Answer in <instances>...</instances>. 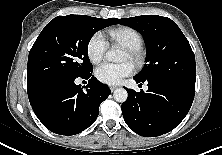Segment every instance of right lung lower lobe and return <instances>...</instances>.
Here are the masks:
<instances>
[{
	"label": "right lung lower lobe",
	"mask_w": 222,
	"mask_h": 155,
	"mask_svg": "<svg viewBox=\"0 0 222 155\" xmlns=\"http://www.w3.org/2000/svg\"><path fill=\"white\" fill-rule=\"evenodd\" d=\"M81 78L88 80L84 89L75 84L76 78H71L48 87L36 97H29L37 118L50 131L75 135L96 120L101 102L111 91L92 76V71Z\"/></svg>",
	"instance_id": "right-lung-lower-lobe-1"
}]
</instances>
